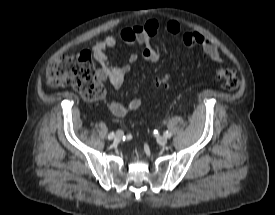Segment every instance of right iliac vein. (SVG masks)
<instances>
[{
  "label": "right iliac vein",
  "instance_id": "63e3f726",
  "mask_svg": "<svg viewBox=\"0 0 275 215\" xmlns=\"http://www.w3.org/2000/svg\"><path fill=\"white\" fill-rule=\"evenodd\" d=\"M123 136H124L123 131L119 130L115 134V139L119 141V140H121L123 138Z\"/></svg>",
  "mask_w": 275,
  "mask_h": 215
}]
</instances>
